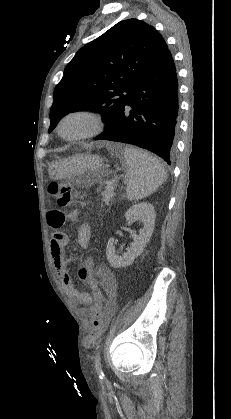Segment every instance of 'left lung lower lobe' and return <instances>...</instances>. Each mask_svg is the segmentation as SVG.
I'll list each match as a JSON object with an SVG mask.
<instances>
[{
	"instance_id": "obj_1",
	"label": "left lung lower lobe",
	"mask_w": 231,
	"mask_h": 419,
	"mask_svg": "<svg viewBox=\"0 0 231 419\" xmlns=\"http://www.w3.org/2000/svg\"><path fill=\"white\" fill-rule=\"evenodd\" d=\"M130 106L129 114L125 111ZM178 81L170 51L134 85L105 131L95 140H110L148 149L168 164L175 151Z\"/></svg>"
}]
</instances>
